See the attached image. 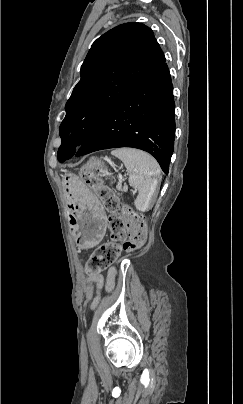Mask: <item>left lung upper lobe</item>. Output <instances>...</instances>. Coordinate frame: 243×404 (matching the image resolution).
<instances>
[{
    "instance_id": "obj_1",
    "label": "left lung upper lobe",
    "mask_w": 243,
    "mask_h": 404,
    "mask_svg": "<svg viewBox=\"0 0 243 404\" xmlns=\"http://www.w3.org/2000/svg\"><path fill=\"white\" fill-rule=\"evenodd\" d=\"M164 63L152 30L141 23L121 24L99 37L66 103L58 161L71 158L102 116Z\"/></svg>"
}]
</instances>
